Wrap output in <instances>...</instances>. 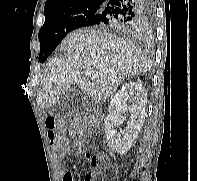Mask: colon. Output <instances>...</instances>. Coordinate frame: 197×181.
Instances as JSON below:
<instances>
[{
    "label": "colon",
    "mask_w": 197,
    "mask_h": 181,
    "mask_svg": "<svg viewBox=\"0 0 197 181\" xmlns=\"http://www.w3.org/2000/svg\"><path fill=\"white\" fill-rule=\"evenodd\" d=\"M47 136L54 149H60L63 144V137L61 132L69 128V132L72 135H82L88 124L84 118L80 115H72L68 117H49L46 120ZM86 157L96 168H102L106 163V157L104 155H90ZM83 181H93V173L87 172L84 175Z\"/></svg>",
    "instance_id": "1"
}]
</instances>
